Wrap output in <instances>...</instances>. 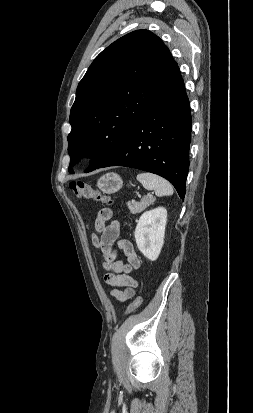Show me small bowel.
<instances>
[{"label": "small bowel", "mask_w": 253, "mask_h": 413, "mask_svg": "<svg viewBox=\"0 0 253 413\" xmlns=\"http://www.w3.org/2000/svg\"><path fill=\"white\" fill-rule=\"evenodd\" d=\"M112 217L113 213L109 208L98 212L92 243L102 253L103 265L107 270L105 281L113 287L111 295L119 301H127L135 295L137 280L131 273L140 267L141 261L129 240H118L120 222ZM118 251L124 253L126 262L117 260Z\"/></svg>", "instance_id": "1"}]
</instances>
